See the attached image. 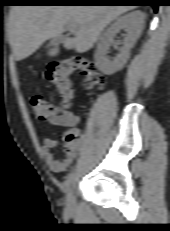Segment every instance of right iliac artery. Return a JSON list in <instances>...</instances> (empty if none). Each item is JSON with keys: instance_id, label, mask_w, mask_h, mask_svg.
Returning <instances> with one entry per match:
<instances>
[{"instance_id": "right-iliac-artery-1", "label": "right iliac artery", "mask_w": 170, "mask_h": 231, "mask_svg": "<svg viewBox=\"0 0 170 231\" xmlns=\"http://www.w3.org/2000/svg\"><path fill=\"white\" fill-rule=\"evenodd\" d=\"M73 179H74V173L71 172L68 177H67V180H66V188L69 189L73 183Z\"/></svg>"}]
</instances>
